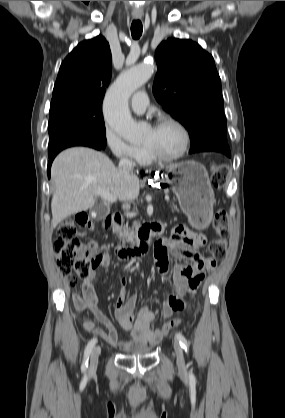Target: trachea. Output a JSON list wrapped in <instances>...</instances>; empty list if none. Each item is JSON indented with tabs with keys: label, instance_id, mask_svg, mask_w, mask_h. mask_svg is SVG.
I'll use <instances>...</instances> for the list:
<instances>
[{
	"label": "trachea",
	"instance_id": "obj_1",
	"mask_svg": "<svg viewBox=\"0 0 285 418\" xmlns=\"http://www.w3.org/2000/svg\"><path fill=\"white\" fill-rule=\"evenodd\" d=\"M142 23L139 20H134L131 24V34L134 39H139L142 35Z\"/></svg>",
	"mask_w": 285,
	"mask_h": 418
}]
</instances>
